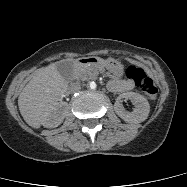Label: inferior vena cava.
<instances>
[{"label": "inferior vena cava", "mask_w": 187, "mask_h": 187, "mask_svg": "<svg viewBox=\"0 0 187 187\" xmlns=\"http://www.w3.org/2000/svg\"><path fill=\"white\" fill-rule=\"evenodd\" d=\"M80 89H81V85L78 82L71 83L70 86H69V91L71 93L78 92V91H80Z\"/></svg>", "instance_id": "1"}]
</instances>
